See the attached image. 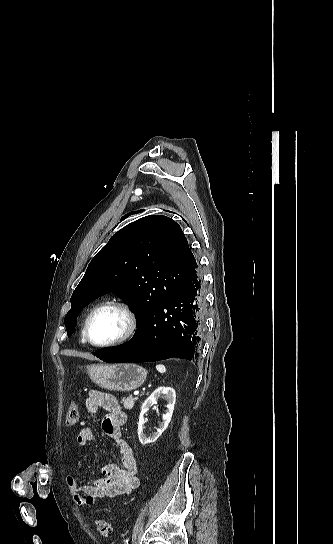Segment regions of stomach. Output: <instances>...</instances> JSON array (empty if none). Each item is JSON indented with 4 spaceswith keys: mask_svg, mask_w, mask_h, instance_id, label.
<instances>
[{
    "mask_svg": "<svg viewBox=\"0 0 333 544\" xmlns=\"http://www.w3.org/2000/svg\"><path fill=\"white\" fill-rule=\"evenodd\" d=\"M90 379L110 391L129 392L139 388L146 380L147 370L133 363L92 364L87 366Z\"/></svg>",
    "mask_w": 333,
    "mask_h": 544,
    "instance_id": "0dacf381",
    "label": "stomach"
}]
</instances>
